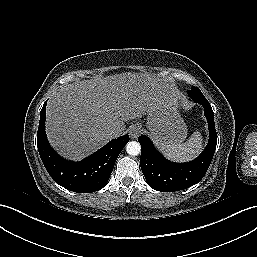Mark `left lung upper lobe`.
Listing matches in <instances>:
<instances>
[{"label":"left lung upper lobe","instance_id":"left-lung-upper-lobe-1","mask_svg":"<svg viewBox=\"0 0 257 257\" xmlns=\"http://www.w3.org/2000/svg\"><path fill=\"white\" fill-rule=\"evenodd\" d=\"M189 96L195 100L198 98H204V95L202 94V92L200 91L199 88L193 87L192 90L188 91Z\"/></svg>","mask_w":257,"mask_h":257}]
</instances>
